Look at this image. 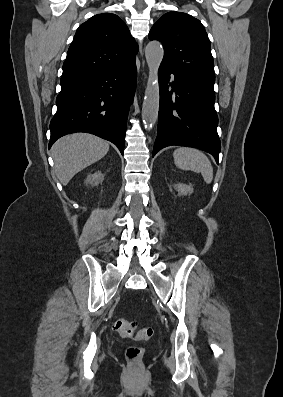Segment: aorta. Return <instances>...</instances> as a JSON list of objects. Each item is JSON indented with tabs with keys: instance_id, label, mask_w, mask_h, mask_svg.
I'll return each mask as SVG.
<instances>
[{
	"instance_id": "762f6f07",
	"label": "aorta",
	"mask_w": 283,
	"mask_h": 397,
	"mask_svg": "<svg viewBox=\"0 0 283 397\" xmlns=\"http://www.w3.org/2000/svg\"><path fill=\"white\" fill-rule=\"evenodd\" d=\"M164 55L163 47L158 41H150L145 48L149 77L142 105V119L148 130L152 129L158 118L159 111V83L158 69Z\"/></svg>"
}]
</instances>
